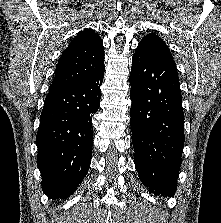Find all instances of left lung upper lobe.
I'll use <instances>...</instances> for the list:
<instances>
[{"label": "left lung upper lobe", "mask_w": 221, "mask_h": 223, "mask_svg": "<svg viewBox=\"0 0 221 223\" xmlns=\"http://www.w3.org/2000/svg\"><path fill=\"white\" fill-rule=\"evenodd\" d=\"M139 49L145 50L149 53L168 57L173 60L171 52L166 43L156 34L146 35L138 44Z\"/></svg>", "instance_id": "5c2ea615"}]
</instances>
